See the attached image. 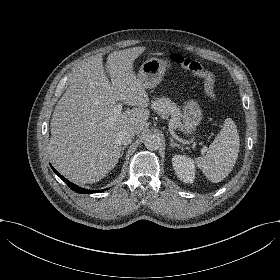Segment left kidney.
I'll list each match as a JSON object with an SVG mask.
<instances>
[{
    "label": "left kidney",
    "instance_id": "5707ae66",
    "mask_svg": "<svg viewBox=\"0 0 280 280\" xmlns=\"http://www.w3.org/2000/svg\"><path fill=\"white\" fill-rule=\"evenodd\" d=\"M173 169L181 181L187 184H193L196 180L195 160L187 155L174 154L172 157Z\"/></svg>",
    "mask_w": 280,
    "mask_h": 280
}]
</instances>
